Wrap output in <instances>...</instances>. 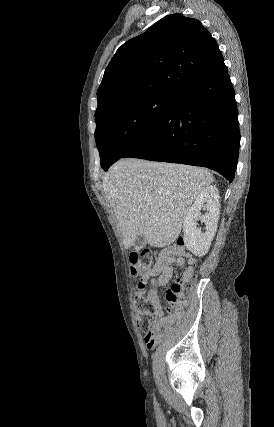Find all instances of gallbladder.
Returning <instances> with one entry per match:
<instances>
[{
  "label": "gallbladder",
  "instance_id": "bac80fb5",
  "mask_svg": "<svg viewBox=\"0 0 274 427\" xmlns=\"http://www.w3.org/2000/svg\"><path fill=\"white\" fill-rule=\"evenodd\" d=\"M144 245H146L144 235H138V237H136V239H135L133 249H135V251H140V249H142V247H144Z\"/></svg>",
  "mask_w": 274,
  "mask_h": 427
}]
</instances>
